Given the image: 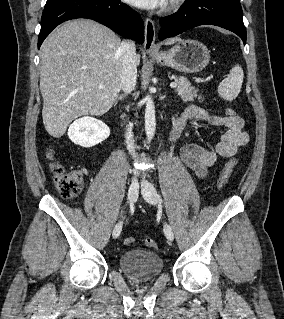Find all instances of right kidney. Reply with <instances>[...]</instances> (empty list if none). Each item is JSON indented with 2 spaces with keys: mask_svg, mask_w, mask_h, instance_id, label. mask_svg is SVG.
I'll return each mask as SVG.
<instances>
[{
  "mask_svg": "<svg viewBox=\"0 0 284 319\" xmlns=\"http://www.w3.org/2000/svg\"><path fill=\"white\" fill-rule=\"evenodd\" d=\"M109 135L110 129L104 122L89 116L75 120L68 130L70 140L85 148L103 142Z\"/></svg>",
  "mask_w": 284,
  "mask_h": 319,
  "instance_id": "ca27d5eb",
  "label": "right kidney"
}]
</instances>
